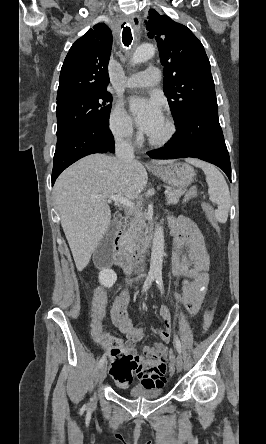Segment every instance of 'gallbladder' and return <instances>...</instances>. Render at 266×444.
Wrapping results in <instances>:
<instances>
[{
  "instance_id": "bac80fb5",
  "label": "gallbladder",
  "mask_w": 266,
  "mask_h": 444,
  "mask_svg": "<svg viewBox=\"0 0 266 444\" xmlns=\"http://www.w3.org/2000/svg\"><path fill=\"white\" fill-rule=\"evenodd\" d=\"M117 229V222L111 223L96 247L94 258L97 265L109 264L112 261V243Z\"/></svg>"
}]
</instances>
